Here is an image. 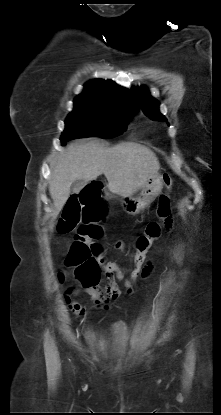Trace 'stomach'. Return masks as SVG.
Instances as JSON below:
<instances>
[{"label": "stomach", "instance_id": "obj_1", "mask_svg": "<svg viewBox=\"0 0 221 415\" xmlns=\"http://www.w3.org/2000/svg\"><path fill=\"white\" fill-rule=\"evenodd\" d=\"M163 188V178L156 174L149 178L141 189L138 196H122L120 198L123 210L130 215H137L143 212L154 199L161 193Z\"/></svg>", "mask_w": 221, "mask_h": 415}]
</instances>
